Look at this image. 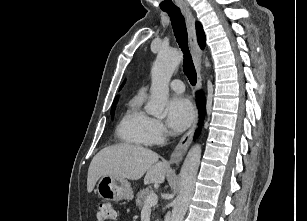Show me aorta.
Instances as JSON below:
<instances>
[{
    "mask_svg": "<svg viewBox=\"0 0 307 221\" xmlns=\"http://www.w3.org/2000/svg\"><path fill=\"white\" fill-rule=\"evenodd\" d=\"M182 59L177 49L161 50L151 70V99L146 111L157 117L164 118V108L169 95V81ZM206 66L209 63L206 62ZM201 146L194 145L188 152L180 172L179 193L174 201L170 221H183L190 200L194 193L196 176L201 159Z\"/></svg>",
    "mask_w": 307,
    "mask_h": 221,
    "instance_id": "762f6f07",
    "label": "aorta"
}]
</instances>
